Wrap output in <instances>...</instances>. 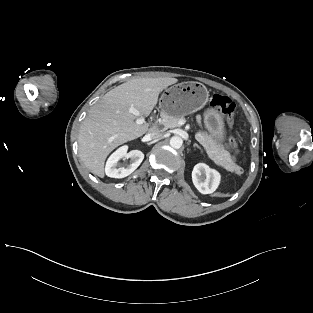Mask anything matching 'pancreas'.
<instances>
[{"mask_svg":"<svg viewBox=\"0 0 313 313\" xmlns=\"http://www.w3.org/2000/svg\"><path fill=\"white\" fill-rule=\"evenodd\" d=\"M161 117V124H163L164 129L178 127L179 120L183 119V116H173L165 113ZM195 139L204 147L209 158L215 164L229 172L241 173L242 168L235 164L230 153L224 149L222 144L201 131L195 134Z\"/></svg>","mask_w":313,"mask_h":313,"instance_id":"cf45deb5","label":"pancreas"}]
</instances>
